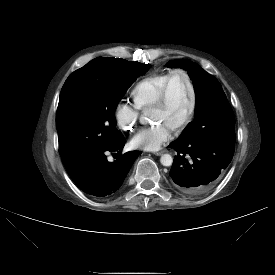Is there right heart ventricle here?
<instances>
[{
	"label": "right heart ventricle",
	"mask_w": 275,
	"mask_h": 275,
	"mask_svg": "<svg viewBox=\"0 0 275 275\" xmlns=\"http://www.w3.org/2000/svg\"><path fill=\"white\" fill-rule=\"evenodd\" d=\"M170 72L152 74L140 80L133 87L131 95L134 104L143 110L152 107Z\"/></svg>",
	"instance_id": "right-heart-ventricle-1"
}]
</instances>
